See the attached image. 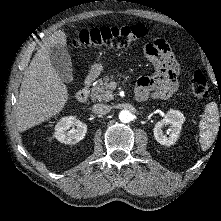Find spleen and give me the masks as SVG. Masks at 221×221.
Wrapping results in <instances>:
<instances>
[{
	"label": "spleen",
	"mask_w": 221,
	"mask_h": 221,
	"mask_svg": "<svg viewBox=\"0 0 221 221\" xmlns=\"http://www.w3.org/2000/svg\"><path fill=\"white\" fill-rule=\"evenodd\" d=\"M219 129V113L215 102L209 103L199 122L200 144L203 151H206L213 144Z\"/></svg>",
	"instance_id": "1"
}]
</instances>
